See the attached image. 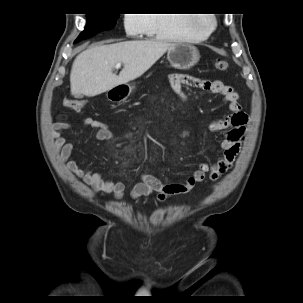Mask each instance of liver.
I'll list each match as a JSON object with an SVG mask.
<instances>
[{
	"label": "liver",
	"instance_id": "6515ba94",
	"mask_svg": "<svg viewBox=\"0 0 303 303\" xmlns=\"http://www.w3.org/2000/svg\"><path fill=\"white\" fill-rule=\"evenodd\" d=\"M173 45L163 40L124 41L96 45L80 53L71 73V93L75 97H93L143 75ZM117 63L124 67L113 73Z\"/></svg>",
	"mask_w": 303,
	"mask_h": 303
}]
</instances>
